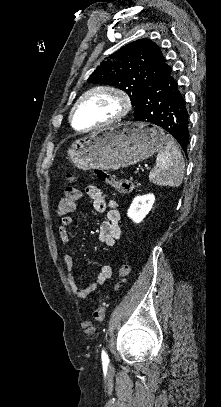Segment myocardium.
Returning <instances> with one entry per match:
<instances>
[{
	"label": "myocardium",
	"instance_id": "obj_1",
	"mask_svg": "<svg viewBox=\"0 0 221 407\" xmlns=\"http://www.w3.org/2000/svg\"><path fill=\"white\" fill-rule=\"evenodd\" d=\"M98 93H108V94H112L114 95L117 99H118V103H119V110L118 112L113 115L111 118L96 124L92 127L86 128L84 130H80V131H92L98 128H101L105 125H109L112 124L116 121H119L120 119H122L125 115L128 114V112L131 110L132 107V102L130 99V96L128 95V93L119 88V87H115V86H111V85H101V86H96L93 87L89 90H87L85 93H83L75 102V104L73 105L70 114H69V121L71 123L72 128H74L75 130H77V128L74 125V115L76 112V109L78 108V106L84 102L88 97L94 95V94H98Z\"/></svg>",
	"mask_w": 221,
	"mask_h": 407
}]
</instances>
